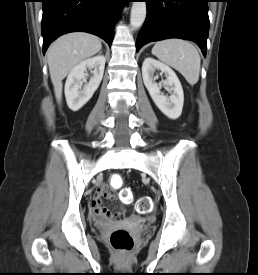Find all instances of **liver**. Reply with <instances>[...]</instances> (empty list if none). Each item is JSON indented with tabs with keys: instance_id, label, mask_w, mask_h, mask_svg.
<instances>
[{
	"instance_id": "6515ba94",
	"label": "liver",
	"mask_w": 258,
	"mask_h": 275,
	"mask_svg": "<svg viewBox=\"0 0 258 275\" xmlns=\"http://www.w3.org/2000/svg\"><path fill=\"white\" fill-rule=\"evenodd\" d=\"M101 48L99 37L83 32L63 35L50 45L47 61L58 104L62 100V80L77 64L97 54Z\"/></svg>"
}]
</instances>
